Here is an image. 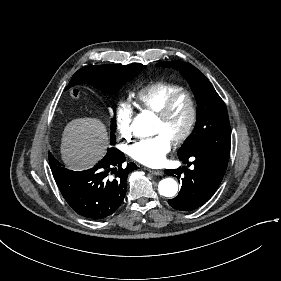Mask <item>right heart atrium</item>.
<instances>
[{
  "mask_svg": "<svg viewBox=\"0 0 281 281\" xmlns=\"http://www.w3.org/2000/svg\"><path fill=\"white\" fill-rule=\"evenodd\" d=\"M115 119L117 131L121 138L125 141L123 144V150L127 152L129 150L128 143L139 136L140 128L134 121V112L131 105L124 101L119 100L116 104Z\"/></svg>",
  "mask_w": 281,
  "mask_h": 281,
  "instance_id": "right-heart-atrium-1",
  "label": "right heart atrium"
}]
</instances>
